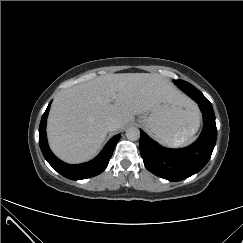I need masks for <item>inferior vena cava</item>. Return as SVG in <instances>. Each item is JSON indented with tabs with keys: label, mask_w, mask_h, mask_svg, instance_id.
I'll return each instance as SVG.
<instances>
[{
	"label": "inferior vena cava",
	"mask_w": 243,
	"mask_h": 243,
	"mask_svg": "<svg viewBox=\"0 0 243 243\" xmlns=\"http://www.w3.org/2000/svg\"><path fill=\"white\" fill-rule=\"evenodd\" d=\"M120 127V123L118 120L116 119H109L107 122H106V129L108 131H116L118 130Z\"/></svg>",
	"instance_id": "inferior-vena-cava-1"
}]
</instances>
